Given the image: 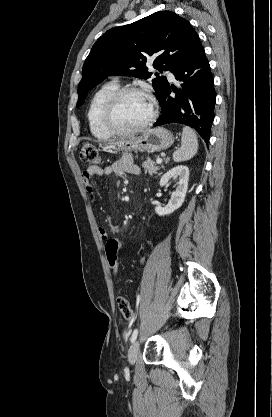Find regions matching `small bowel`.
Returning <instances> with one entry per match:
<instances>
[{
    "mask_svg": "<svg viewBox=\"0 0 272 417\" xmlns=\"http://www.w3.org/2000/svg\"><path fill=\"white\" fill-rule=\"evenodd\" d=\"M140 173V167L134 162V160L126 155L116 159L111 165L107 166H91L86 168L83 171L84 181L87 187V190L90 192V196L93 199L94 195L92 193L93 186L91 184V179L94 176H106L110 177L112 175H138ZM100 238L104 241L109 239L108 232L100 228L99 229Z\"/></svg>",
    "mask_w": 272,
    "mask_h": 417,
    "instance_id": "c3829d8e",
    "label": "small bowel"
}]
</instances>
